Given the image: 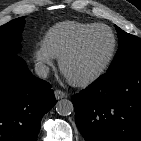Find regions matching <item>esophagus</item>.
Returning <instances> with one entry per match:
<instances>
[{"mask_svg":"<svg viewBox=\"0 0 141 141\" xmlns=\"http://www.w3.org/2000/svg\"><path fill=\"white\" fill-rule=\"evenodd\" d=\"M54 94H55V98H56L57 100L66 97V93L63 92L62 90H55Z\"/></svg>","mask_w":141,"mask_h":141,"instance_id":"34e87169","label":"esophagus"}]
</instances>
